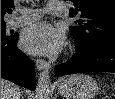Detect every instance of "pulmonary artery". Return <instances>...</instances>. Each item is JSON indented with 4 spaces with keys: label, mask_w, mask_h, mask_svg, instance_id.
I'll use <instances>...</instances> for the list:
<instances>
[{
    "label": "pulmonary artery",
    "mask_w": 115,
    "mask_h": 99,
    "mask_svg": "<svg viewBox=\"0 0 115 99\" xmlns=\"http://www.w3.org/2000/svg\"><path fill=\"white\" fill-rule=\"evenodd\" d=\"M64 11V6L60 1H50L47 4L46 12L53 14V15H59L62 14ZM42 15L41 10H25L23 11L19 16L13 17L8 22V26L11 28L21 26L23 24L32 22L34 20H37Z\"/></svg>",
    "instance_id": "obj_1"
}]
</instances>
